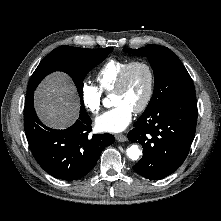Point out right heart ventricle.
<instances>
[{"mask_svg":"<svg viewBox=\"0 0 221 221\" xmlns=\"http://www.w3.org/2000/svg\"><path fill=\"white\" fill-rule=\"evenodd\" d=\"M128 60L124 59H110L98 71L96 80L102 92L110 94L113 92L119 75Z\"/></svg>","mask_w":221,"mask_h":221,"instance_id":"1","label":"right heart ventricle"}]
</instances>
